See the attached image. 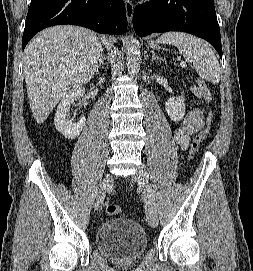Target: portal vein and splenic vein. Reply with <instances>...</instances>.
<instances>
[{
    "label": "portal vein and splenic vein",
    "instance_id": "obj_1",
    "mask_svg": "<svg viewBox=\"0 0 253 271\" xmlns=\"http://www.w3.org/2000/svg\"><path fill=\"white\" fill-rule=\"evenodd\" d=\"M181 66H182V67H185V66H186V63H185V62H182V63H181Z\"/></svg>",
    "mask_w": 253,
    "mask_h": 271
}]
</instances>
